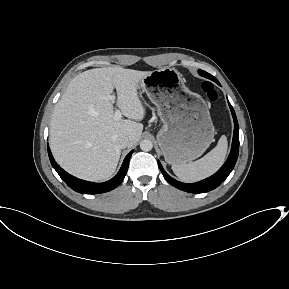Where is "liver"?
<instances>
[{"label": "liver", "instance_id": "1", "mask_svg": "<svg viewBox=\"0 0 289 289\" xmlns=\"http://www.w3.org/2000/svg\"><path fill=\"white\" fill-rule=\"evenodd\" d=\"M148 74L116 66L90 69L71 80L50 125V147L62 168L89 181L106 180L115 172L121 154L117 139L128 137L132 147L141 137L145 109L137 90ZM114 89L126 120L114 118Z\"/></svg>", "mask_w": 289, "mask_h": 289}]
</instances>
